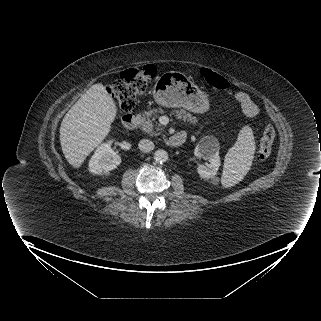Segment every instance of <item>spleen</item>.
<instances>
[{
	"label": "spleen",
	"instance_id": "obj_1",
	"mask_svg": "<svg viewBox=\"0 0 321 321\" xmlns=\"http://www.w3.org/2000/svg\"><path fill=\"white\" fill-rule=\"evenodd\" d=\"M255 140L251 127L244 126L236 143L229 149L224 160L222 184L230 187L241 181L252 164Z\"/></svg>",
	"mask_w": 321,
	"mask_h": 321
}]
</instances>
